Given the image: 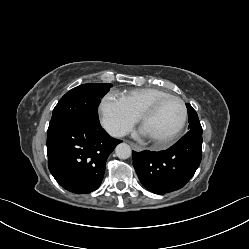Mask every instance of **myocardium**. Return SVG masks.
Here are the masks:
<instances>
[{"mask_svg": "<svg viewBox=\"0 0 249 249\" xmlns=\"http://www.w3.org/2000/svg\"><path fill=\"white\" fill-rule=\"evenodd\" d=\"M170 99H175V100H177V101H179L181 103L182 108H183V117H182L180 125L178 126V128L171 135H169L168 137H165L163 139H150L155 144V146H157L158 148H167V147H169L170 145H172L179 138V136L183 132V130H184L185 126H186L187 120H188V108H187V105H186L185 101L181 97H179L177 95H167L165 97L157 99L156 101H154L153 103L148 105L141 112V114L139 116V121H140V124L142 125L144 123V121L149 116H151L152 114L155 113V111L159 108V106L162 103H164L165 101L170 100Z\"/></svg>", "mask_w": 249, "mask_h": 249, "instance_id": "obj_1", "label": "myocardium"}]
</instances>
